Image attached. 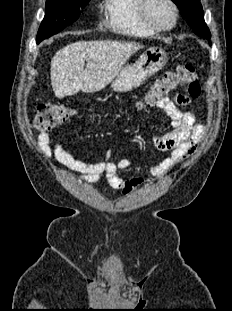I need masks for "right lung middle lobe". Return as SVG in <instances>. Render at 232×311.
<instances>
[{"instance_id":"obj_1","label":"right lung middle lobe","mask_w":232,"mask_h":311,"mask_svg":"<svg viewBox=\"0 0 232 311\" xmlns=\"http://www.w3.org/2000/svg\"><path fill=\"white\" fill-rule=\"evenodd\" d=\"M90 0H47L45 17L37 34V43L76 21Z\"/></svg>"}]
</instances>
